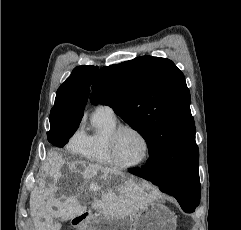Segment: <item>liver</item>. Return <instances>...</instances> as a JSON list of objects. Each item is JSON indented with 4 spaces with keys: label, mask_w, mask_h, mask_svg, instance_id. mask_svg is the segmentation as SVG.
Listing matches in <instances>:
<instances>
[{
    "label": "liver",
    "mask_w": 241,
    "mask_h": 230,
    "mask_svg": "<svg viewBox=\"0 0 241 230\" xmlns=\"http://www.w3.org/2000/svg\"><path fill=\"white\" fill-rule=\"evenodd\" d=\"M65 165L66 168L62 172L61 169ZM78 175L84 179L83 184L77 188L78 193L70 197L62 196L64 201L56 198L59 189L56 184L60 179L69 181ZM113 175H123V173L96 164L69 162L62 159L61 155L51 153L49 176L53 183L46 188L44 179H40L39 187H36L30 195V215L36 230H60L61 224L53 223V218L62 217L68 220L84 213L86 206L78 200V196L83 191L96 193L92 207L103 213L106 218L124 219L134 215L152 201L151 195L145 191L147 187L145 184L140 186L133 181H126L124 184L113 186L111 182Z\"/></svg>",
    "instance_id": "obj_1"
}]
</instances>
